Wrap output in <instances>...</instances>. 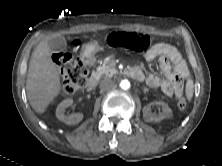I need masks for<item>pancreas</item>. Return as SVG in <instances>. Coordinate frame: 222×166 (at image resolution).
<instances>
[{"label":"pancreas","mask_w":222,"mask_h":166,"mask_svg":"<svg viewBox=\"0 0 222 166\" xmlns=\"http://www.w3.org/2000/svg\"><path fill=\"white\" fill-rule=\"evenodd\" d=\"M115 63L107 57L104 59L103 64L96 69L99 76L111 77L116 73Z\"/></svg>","instance_id":"pancreas-1"}]
</instances>
